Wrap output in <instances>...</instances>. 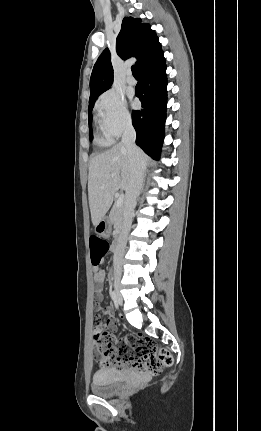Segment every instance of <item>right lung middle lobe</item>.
I'll return each mask as SVG.
<instances>
[{
  "label": "right lung middle lobe",
  "instance_id": "dd1d6c3e",
  "mask_svg": "<svg viewBox=\"0 0 261 431\" xmlns=\"http://www.w3.org/2000/svg\"><path fill=\"white\" fill-rule=\"evenodd\" d=\"M98 96L94 97L93 99L89 100L90 105L88 106V115H89V136L90 139H92V109L95 103V100L97 99Z\"/></svg>",
  "mask_w": 261,
  "mask_h": 431
}]
</instances>
